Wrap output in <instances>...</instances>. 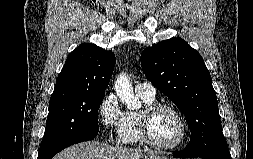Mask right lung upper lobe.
Wrapping results in <instances>:
<instances>
[{"label": "right lung upper lobe", "instance_id": "cb5924a9", "mask_svg": "<svg viewBox=\"0 0 253 159\" xmlns=\"http://www.w3.org/2000/svg\"><path fill=\"white\" fill-rule=\"evenodd\" d=\"M115 55L83 43L71 52L56 80L51 98L78 93H105L115 66Z\"/></svg>", "mask_w": 253, "mask_h": 159}]
</instances>
